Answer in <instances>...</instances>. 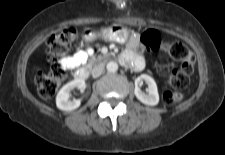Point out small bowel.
Wrapping results in <instances>:
<instances>
[{"label": "small bowel", "mask_w": 225, "mask_h": 155, "mask_svg": "<svg viewBox=\"0 0 225 155\" xmlns=\"http://www.w3.org/2000/svg\"><path fill=\"white\" fill-rule=\"evenodd\" d=\"M143 43L138 36H132L127 44L126 50L122 54L121 58H124L131 62V65L135 69H142L144 61L139 55V51L142 48ZM91 54V50H80L72 56H68L62 60V63L70 68L77 67L83 64L88 56Z\"/></svg>", "instance_id": "c3829d8e"}]
</instances>
